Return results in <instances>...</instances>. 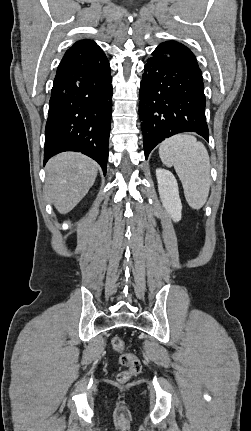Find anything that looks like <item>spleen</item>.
Instances as JSON below:
<instances>
[{
  "mask_svg": "<svg viewBox=\"0 0 251 431\" xmlns=\"http://www.w3.org/2000/svg\"><path fill=\"white\" fill-rule=\"evenodd\" d=\"M159 155L167 166H174L190 207L200 209L210 190V160L206 147L192 135L179 134L164 140Z\"/></svg>",
  "mask_w": 251,
  "mask_h": 431,
  "instance_id": "3e777b00",
  "label": "spleen"
}]
</instances>
